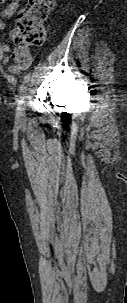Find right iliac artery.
I'll return each mask as SVG.
<instances>
[{"instance_id": "1", "label": "right iliac artery", "mask_w": 127, "mask_h": 303, "mask_svg": "<svg viewBox=\"0 0 127 303\" xmlns=\"http://www.w3.org/2000/svg\"><path fill=\"white\" fill-rule=\"evenodd\" d=\"M30 77L26 76L24 79L23 84L20 86V98L21 100L26 96V92H27V85L29 82Z\"/></svg>"}]
</instances>
